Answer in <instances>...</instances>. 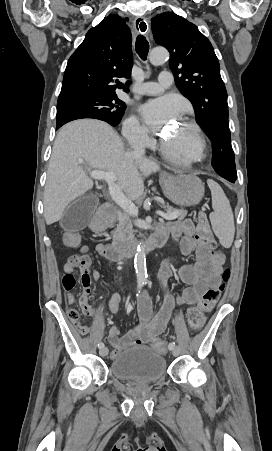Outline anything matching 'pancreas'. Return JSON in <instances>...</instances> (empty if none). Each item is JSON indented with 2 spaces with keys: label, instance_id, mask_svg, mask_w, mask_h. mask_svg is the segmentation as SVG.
Instances as JSON below:
<instances>
[{
  "label": "pancreas",
  "instance_id": "1",
  "mask_svg": "<svg viewBox=\"0 0 272 451\" xmlns=\"http://www.w3.org/2000/svg\"><path fill=\"white\" fill-rule=\"evenodd\" d=\"M166 208L168 214H174L178 212V220H184L188 212L187 210H175L172 206H163ZM135 229H133V224L130 220L129 214H120L119 222L116 224L115 229H112L111 233L113 235V245L117 247H123V245H128V243H133L136 237L134 235Z\"/></svg>",
  "mask_w": 272,
  "mask_h": 451
}]
</instances>
